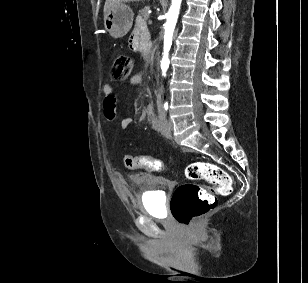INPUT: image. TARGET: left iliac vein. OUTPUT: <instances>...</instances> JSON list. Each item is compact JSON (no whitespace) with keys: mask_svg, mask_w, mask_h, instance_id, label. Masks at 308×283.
<instances>
[{"mask_svg":"<svg viewBox=\"0 0 308 283\" xmlns=\"http://www.w3.org/2000/svg\"><path fill=\"white\" fill-rule=\"evenodd\" d=\"M173 130V122L171 120H166L163 125V133L165 136L170 137Z\"/></svg>","mask_w":308,"mask_h":283,"instance_id":"1","label":"left iliac vein"}]
</instances>
